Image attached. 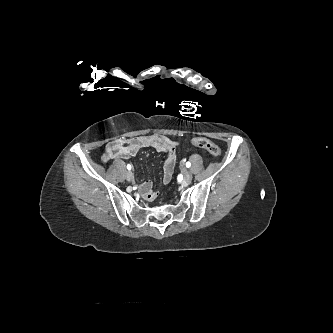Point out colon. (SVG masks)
<instances>
[{
  "instance_id": "1",
  "label": "colon",
  "mask_w": 333,
  "mask_h": 333,
  "mask_svg": "<svg viewBox=\"0 0 333 333\" xmlns=\"http://www.w3.org/2000/svg\"><path fill=\"white\" fill-rule=\"evenodd\" d=\"M191 143L194 146H197L199 148L206 150L212 156L217 157L221 154L220 148L216 144H214L213 142L209 141L206 138L196 137L191 140Z\"/></svg>"
}]
</instances>
